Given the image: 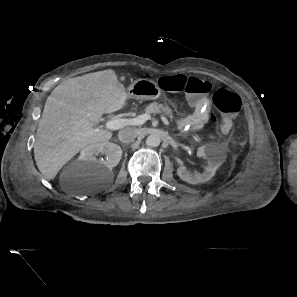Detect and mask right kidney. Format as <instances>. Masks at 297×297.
<instances>
[{"instance_id": "obj_1", "label": "right kidney", "mask_w": 297, "mask_h": 297, "mask_svg": "<svg viewBox=\"0 0 297 297\" xmlns=\"http://www.w3.org/2000/svg\"><path fill=\"white\" fill-rule=\"evenodd\" d=\"M98 154H105L106 158L97 160L94 155ZM121 156L122 150L118 145L111 142H103L91 144L84 148L80 153L79 159L92 163L95 167L104 165L111 170L119 163Z\"/></svg>"}]
</instances>
